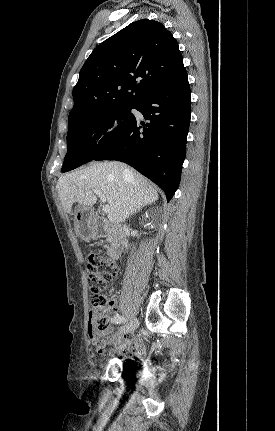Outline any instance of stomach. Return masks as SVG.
<instances>
[{
    "label": "stomach",
    "mask_w": 275,
    "mask_h": 431,
    "mask_svg": "<svg viewBox=\"0 0 275 431\" xmlns=\"http://www.w3.org/2000/svg\"><path fill=\"white\" fill-rule=\"evenodd\" d=\"M75 232L83 238H92L95 234V227L92 223V211L86 206H78L74 213Z\"/></svg>",
    "instance_id": "0dacf381"
}]
</instances>
